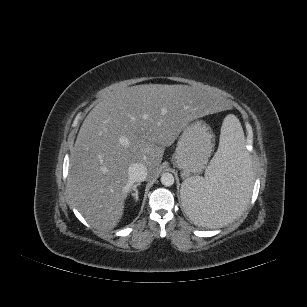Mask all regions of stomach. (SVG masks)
Segmentation results:
<instances>
[{
    "mask_svg": "<svg viewBox=\"0 0 307 307\" xmlns=\"http://www.w3.org/2000/svg\"><path fill=\"white\" fill-rule=\"evenodd\" d=\"M214 147L210 126L203 120H195L185 126L172 157L174 166L187 178L201 173L207 166Z\"/></svg>",
    "mask_w": 307,
    "mask_h": 307,
    "instance_id": "stomach-1",
    "label": "stomach"
}]
</instances>
